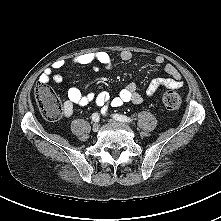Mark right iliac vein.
I'll use <instances>...</instances> for the list:
<instances>
[{
    "label": "right iliac vein",
    "instance_id": "right-iliac-vein-1",
    "mask_svg": "<svg viewBox=\"0 0 221 221\" xmlns=\"http://www.w3.org/2000/svg\"><path fill=\"white\" fill-rule=\"evenodd\" d=\"M99 128H100L99 123H94V124H93V127H92V130H93L94 132H97V131L99 130Z\"/></svg>",
    "mask_w": 221,
    "mask_h": 221
}]
</instances>
